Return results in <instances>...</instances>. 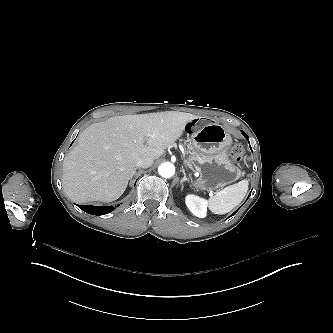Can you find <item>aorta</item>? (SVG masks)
Returning <instances> with one entry per match:
<instances>
[{
	"instance_id": "762f6f07",
	"label": "aorta",
	"mask_w": 333,
	"mask_h": 333,
	"mask_svg": "<svg viewBox=\"0 0 333 333\" xmlns=\"http://www.w3.org/2000/svg\"><path fill=\"white\" fill-rule=\"evenodd\" d=\"M159 174L164 178H170L175 174V167L170 162L162 163L158 167Z\"/></svg>"
}]
</instances>
